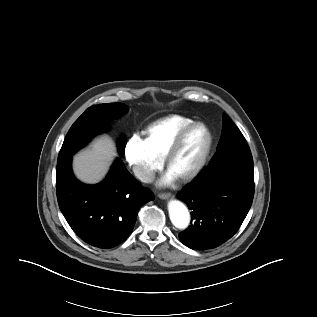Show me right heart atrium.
<instances>
[{"label": "right heart atrium", "mask_w": 317, "mask_h": 317, "mask_svg": "<svg viewBox=\"0 0 317 317\" xmlns=\"http://www.w3.org/2000/svg\"><path fill=\"white\" fill-rule=\"evenodd\" d=\"M125 158L134 175L141 182H150L162 166V159L154 155L139 136L131 137L125 146Z\"/></svg>", "instance_id": "right-heart-atrium-1"}]
</instances>
